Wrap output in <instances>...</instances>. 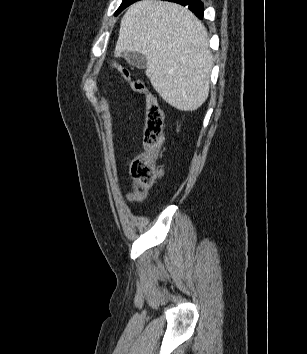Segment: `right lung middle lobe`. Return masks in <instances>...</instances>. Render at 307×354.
<instances>
[{
    "mask_svg": "<svg viewBox=\"0 0 307 354\" xmlns=\"http://www.w3.org/2000/svg\"><path fill=\"white\" fill-rule=\"evenodd\" d=\"M136 1L137 0H123L122 4L120 5L118 10L116 11L115 15L119 14L123 9H125L127 6H129L130 4H132Z\"/></svg>",
    "mask_w": 307,
    "mask_h": 354,
    "instance_id": "1",
    "label": "right lung middle lobe"
}]
</instances>
